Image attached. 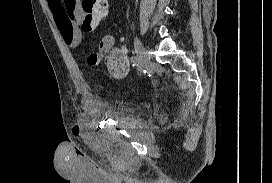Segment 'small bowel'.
<instances>
[{
	"mask_svg": "<svg viewBox=\"0 0 272 183\" xmlns=\"http://www.w3.org/2000/svg\"><path fill=\"white\" fill-rule=\"evenodd\" d=\"M51 14L54 17L61 37L69 47H77L82 40L83 34L79 28V16L70 22L67 19L68 0H47ZM115 39L113 35H104L99 42V50L102 53H110L108 64L116 77H124L129 71V64L123 49L114 48ZM98 59V58H97ZM81 120L82 115L76 116Z\"/></svg>",
	"mask_w": 272,
	"mask_h": 183,
	"instance_id": "1",
	"label": "small bowel"
}]
</instances>
